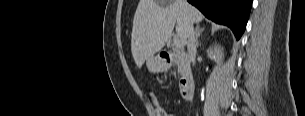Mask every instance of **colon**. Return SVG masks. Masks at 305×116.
<instances>
[{
    "label": "colon",
    "instance_id": "5ec220e1",
    "mask_svg": "<svg viewBox=\"0 0 305 116\" xmlns=\"http://www.w3.org/2000/svg\"><path fill=\"white\" fill-rule=\"evenodd\" d=\"M148 100L153 112V116H172V114L160 103L153 93H148Z\"/></svg>",
    "mask_w": 305,
    "mask_h": 116
}]
</instances>
